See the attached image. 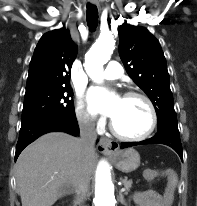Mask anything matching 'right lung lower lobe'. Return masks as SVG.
<instances>
[{
    "instance_id": "right-lung-lower-lobe-1",
    "label": "right lung lower lobe",
    "mask_w": 197,
    "mask_h": 206,
    "mask_svg": "<svg viewBox=\"0 0 197 206\" xmlns=\"http://www.w3.org/2000/svg\"><path fill=\"white\" fill-rule=\"evenodd\" d=\"M54 131L66 132L77 136L79 134V127L75 114L44 117L21 125L16 146L15 160L22 150L39 136Z\"/></svg>"
}]
</instances>
